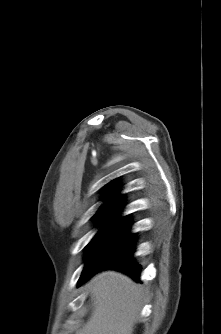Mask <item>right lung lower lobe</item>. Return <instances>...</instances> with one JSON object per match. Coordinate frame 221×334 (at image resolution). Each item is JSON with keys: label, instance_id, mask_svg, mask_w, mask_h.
<instances>
[{"label": "right lung lower lobe", "instance_id": "obj_1", "mask_svg": "<svg viewBox=\"0 0 221 334\" xmlns=\"http://www.w3.org/2000/svg\"><path fill=\"white\" fill-rule=\"evenodd\" d=\"M134 252V242H132L126 249L116 255L107 265L95 270L94 272L87 275L83 280L80 281V284L88 280L96 272L103 269H116L128 274L135 281L139 282V274L141 266L134 262L132 257Z\"/></svg>", "mask_w": 221, "mask_h": 334}]
</instances>
